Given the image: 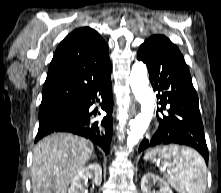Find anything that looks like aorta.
Returning <instances> with one entry per match:
<instances>
[{
  "label": "aorta",
  "instance_id": "1",
  "mask_svg": "<svg viewBox=\"0 0 221 193\" xmlns=\"http://www.w3.org/2000/svg\"><path fill=\"white\" fill-rule=\"evenodd\" d=\"M129 80L132 92L141 105V112L131 123L127 136V146L131 150L138 144L152 120L155 96L149 87L147 67L143 62L136 61L133 64Z\"/></svg>",
  "mask_w": 221,
  "mask_h": 193
}]
</instances>
